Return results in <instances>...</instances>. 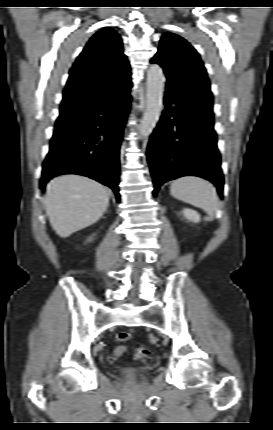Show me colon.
<instances>
[{"label": "colon", "mask_w": 273, "mask_h": 430, "mask_svg": "<svg viewBox=\"0 0 273 430\" xmlns=\"http://www.w3.org/2000/svg\"><path fill=\"white\" fill-rule=\"evenodd\" d=\"M131 337H132L131 333L124 331L117 334L116 340L118 342H126V341H129ZM125 351H126V347L119 346L116 348L115 354L117 356H121ZM150 353H151V349L149 347L142 346V347L135 348L134 350L135 357L139 359L147 357Z\"/></svg>", "instance_id": "colon-1"}]
</instances>
